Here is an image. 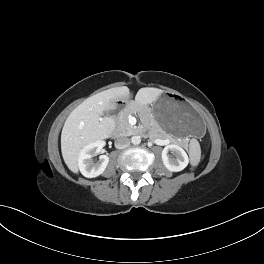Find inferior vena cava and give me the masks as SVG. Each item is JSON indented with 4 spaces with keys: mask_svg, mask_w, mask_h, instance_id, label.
Returning <instances> with one entry per match:
<instances>
[{
    "mask_svg": "<svg viewBox=\"0 0 264 264\" xmlns=\"http://www.w3.org/2000/svg\"><path fill=\"white\" fill-rule=\"evenodd\" d=\"M130 145V140L127 137L121 136L115 140V147L118 149H124Z\"/></svg>",
    "mask_w": 264,
    "mask_h": 264,
    "instance_id": "1",
    "label": "inferior vena cava"
}]
</instances>
